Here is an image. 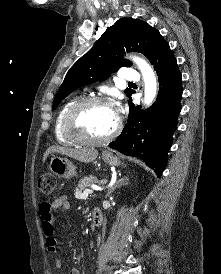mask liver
Listing matches in <instances>:
<instances>
[{"mask_svg":"<svg viewBox=\"0 0 221 274\" xmlns=\"http://www.w3.org/2000/svg\"><path fill=\"white\" fill-rule=\"evenodd\" d=\"M50 153H59L62 155H66L83 163L92 162L98 156V151L94 148L72 149L60 146H51L46 150L44 154V161Z\"/></svg>","mask_w":221,"mask_h":274,"instance_id":"6515ba94","label":"liver"}]
</instances>
